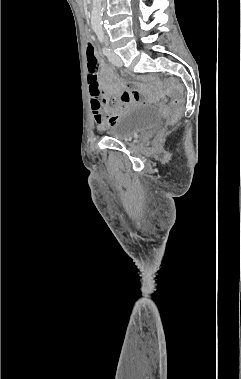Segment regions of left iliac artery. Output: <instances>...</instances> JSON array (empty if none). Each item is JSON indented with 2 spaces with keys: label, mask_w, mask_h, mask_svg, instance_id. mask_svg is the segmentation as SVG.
Instances as JSON below:
<instances>
[{
  "label": "left iliac artery",
  "mask_w": 241,
  "mask_h": 379,
  "mask_svg": "<svg viewBox=\"0 0 241 379\" xmlns=\"http://www.w3.org/2000/svg\"><path fill=\"white\" fill-rule=\"evenodd\" d=\"M95 32L97 34V37L99 39V41L104 44L105 43V36H104V31L102 28H96L95 29ZM103 53L106 55V56H109L110 55V49L107 47V45L103 46Z\"/></svg>",
  "instance_id": "44dca946"
}]
</instances>
